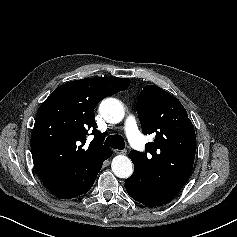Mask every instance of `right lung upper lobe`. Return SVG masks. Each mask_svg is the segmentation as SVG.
Wrapping results in <instances>:
<instances>
[{
  "label": "right lung upper lobe",
  "mask_w": 237,
  "mask_h": 237,
  "mask_svg": "<svg viewBox=\"0 0 237 237\" xmlns=\"http://www.w3.org/2000/svg\"><path fill=\"white\" fill-rule=\"evenodd\" d=\"M128 78L98 77L57 87L39 107L31 137L34 168L58 198L85 194L98 167L112 155L93 122L96 105L126 90ZM89 131L94 135L84 149Z\"/></svg>",
  "instance_id": "obj_1"
}]
</instances>
